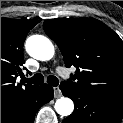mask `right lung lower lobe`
Instances as JSON below:
<instances>
[{"mask_svg":"<svg viewBox=\"0 0 123 123\" xmlns=\"http://www.w3.org/2000/svg\"><path fill=\"white\" fill-rule=\"evenodd\" d=\"M53 99V88L39 86L28 99L1 109V123H34L37 110Z\"/></svg>","mask_w":123,"mask_h":123,"instance_id":"obj_1","label":"right lung lower lobe"}]
</instances>
